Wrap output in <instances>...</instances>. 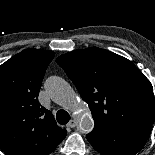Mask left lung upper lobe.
<instances>
[{
    "label": "left lung upper lobe",
    "mask_w": 155,
    "mask_h": 155,
    "mask_svg": "<svg viewBox=\"0 0 155 155\" xmlns=\"http://www.w3.org/2000/svg\"><path fill=\"white\" fill-rule=\"evenodd\" d=\"M56 62L88 103L95 127L153 124V87L128 59L101 48L74 50Z\"/></svg>",
    "instance_id": "5c2ea615"
}]
</instances>
